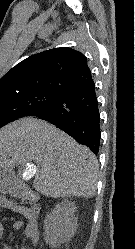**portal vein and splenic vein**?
I'll return each instance as SVG.
<instances>
[{"label": "portal vein and splenic vein", "instance_id": "obj_1", "mask_svg": "<svg viewBox=\"0 0 135 249\" xmlns=\"http://www.w3.org/2000/svg\"><path fill=\"white\" fill-rule=\"evenodd\" d=\"M37 169L36 166L34 164H28L27 166V173L29 174V176H33L36 173Z\"/></svg>", "mask_w": 135, "mask_h": 249}]
</instances>
